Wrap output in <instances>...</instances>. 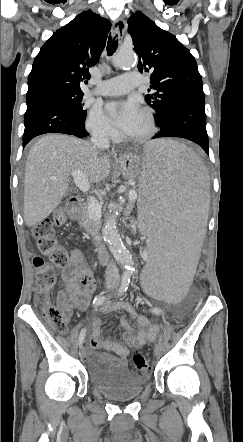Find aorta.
<instances>
[{"label":"aorta","mask_w":243,"mask_h":442,"mask_svg":"<svg viewBox=\"0 0 243 442\" xmlns=\"http://www.w3.org/2000/svg\"><path fill=\"white\" fill-rule=\"evenodd\" d=\"M113 64L118 69L132 68L136 64V58L132 51L119 52L113 61ZM122 211L121 206L114 208L111 216L106 220L103 227V236L106 242L110 246V250L114 258L125 264L126 272L129 273L133 270V262L131 253L125 248L120 234L117 230V217Z\"/></svg>","instance_id":"1"}]
</instances>
